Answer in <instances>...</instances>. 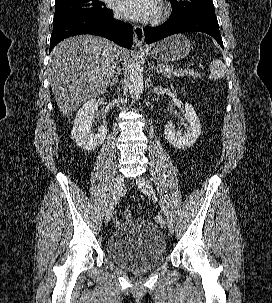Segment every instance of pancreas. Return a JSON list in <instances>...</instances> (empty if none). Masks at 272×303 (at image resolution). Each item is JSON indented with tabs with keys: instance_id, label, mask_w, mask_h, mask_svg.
<instances>
[{
	"instance_id": "cf45deb5",
	"label": "pancreas",
	"mask_w": 272,
	"mask_h": 303,
	"mask_svg": "<svg viewBox=\"0 0 272 303\" xmlns=\"http://www.w3.org/2000/svg\"><path fill=\"white\" fill-rule=\"evenodd\" d=\"M158 67L163 69L162 75L167 78H171L172 76L191 75V71L189 69L176 70L173 66L162 63H159Z\"/></svg>"
}]
</instances>
